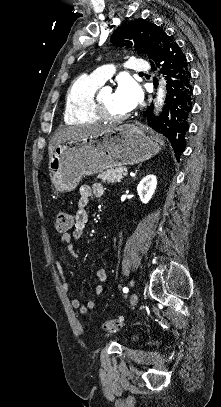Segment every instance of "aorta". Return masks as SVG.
<instances>
[{"label": "aorta", "mask_w": 221, "mask_h": 407, "mask_svg": "<svg viewBox=\"0 0 221 407\" xmlns=\"http://www.w3.org/2000/svg\"><path fill=\"white\" fill-rule=\"evenodd\" d=\"M163 97H164V90H163V88H159V90H158V96H157V101H158V103H162V101H163Z\"/></svg>", "instance_id": "1"}]
</instances>
